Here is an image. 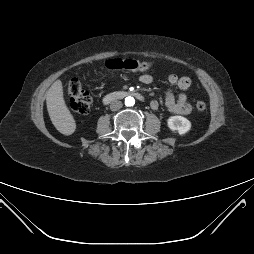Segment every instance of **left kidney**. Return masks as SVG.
Returning a JSON list of instances; mask_svg holds the SVG:
<instances>
[{
	"label": "left kidney",
	"instance_id": "obj_1",
	"mask_svg": "<svg viewBox=\"0 0 254 254\" xmlns=\"http://www.w3.org/2000/svg\"><path fill=\"white\" fill-rule=\"evenodd\" d=\"M168 127L171 131L182 135L191 129V122L183 116H171L167 120Z\"/></svg>",
	"mask_w": 254,
	"mask_h": 254
}]
</instances>
